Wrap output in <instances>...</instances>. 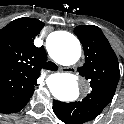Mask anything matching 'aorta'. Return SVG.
<instances>
[{
    "mask_svg": "<svg viewBox=\"0 0 124 124\" xmlns=\"http://www.w3.org/2000/svg\"><path fill=\"white\" fill-rule=\"evenodd\" d=\"M49 54L62 65H72L81 56V45L73 34L62 31L50 43ZM46 83L52 95L60 101L70 102L79 97L77 78L73 74H52Z\"/></svg>",
    "mask_w": 124,
    "mask_h": 124,
    "instance_id": "762f6f07",
    "label": "aorta"
}]
</instances>
